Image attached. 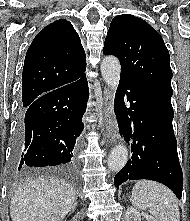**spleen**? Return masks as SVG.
<instances>
[{"instance_id":"spleen-1","label":"spleen","mask_w":190,"mask_h":221,"mask_svg":"<svg viewBox=\"0 0 190 221\" xmlns=\"http://www.w3.org/2000/svg\"><path fill=\"white\" fill-rule=\"evenodd\" d=\"M131 200L136 209L148 210L159 221H180L175 195L159 183L138 181L132 189Z\"/></svg>"}]
</instances>
